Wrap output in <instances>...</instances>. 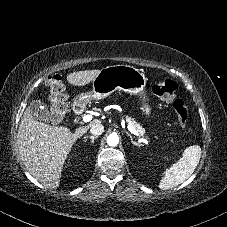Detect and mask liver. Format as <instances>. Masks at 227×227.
<instances>
[{"instance_id": "liver-1", "label": "liver", "mask_w": 227, "mask_h": 227, "mask_svg": "<svg viewBox=\"0 0 227 227\" xmlns=\"http://www.w3.org/2000/svg\"><path fill=\"white\" fill-rule=\"evenodd\" d=\"M99 72L100 70L73 72L67 76V81L74 86H85ZM96 123H100V120L94 119L72 133L66 127H54L35 120L29 107L26 108L19 125L17 143L27 171L42 185L51 189L58 188L63 165L73 145Z\"/></svg>"}]
</instances>
